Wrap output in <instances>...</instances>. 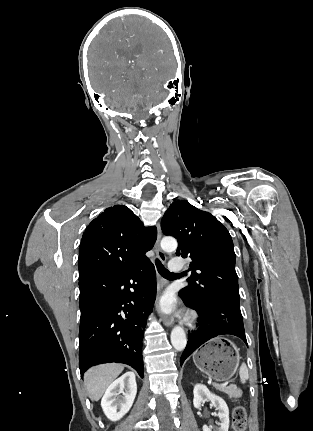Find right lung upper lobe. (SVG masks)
Returning <instances> with one entry per match:
<instances>
[{
  "label": "right lung upper lobe",
  "mask_w": 313,
  "mask_h": 431,
  "mask_svg": "<svg viewBox=\"0 0 313 431\" xmlns=\"http://www.w3.org/2000/svg\"><path fill=\"white\" fill-rule=\"evenodd\" d=\"M157 238L126 206L105 209L86 228L78 258L79 280L132 271L149 259L145 253Z\"/></svg>",
  "instance_id": "1"
}]
</instances>
